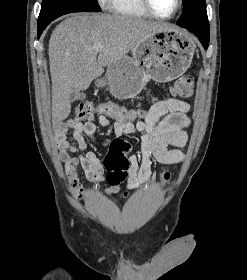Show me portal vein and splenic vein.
<instances>
[{"instance_id":"portal-vein-and-splenic-vein-1","label":"portal vein and splenic vein","mask_w":247,"mask_h":280,"mask_svg":"<svg viewBox=\"0 0 247 280\" xmlns=\"http://www.w3.org/2000/svg\"><path fill=\"white\" fill-rule=\"evenodd\" d=\"M101 49V45L99 44V45H96V46H94V50L95 51H99Z\"/></svg>"}]
</instances>
